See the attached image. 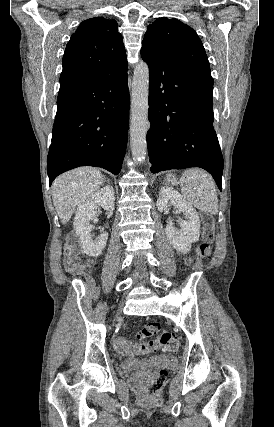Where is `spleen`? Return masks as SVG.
Segmentation results:
<instances>
[{
	"label": "spleen",
	"mask_w": 274,
	"mask_h": 427,
	"mask_svg": "<svg viewBox=\"0 0 274 427\" xmlns=\"http://www.w3.org/2000/svg\"><path fill=\"white\" fill-rule=\"evenodd\" d=\"M182 196L200 212L215 215L218 212L216 184L207 172L193 168L185 170L181 180Z\"/></svg>",
	"instance_id": "1"
}]
</instances>
